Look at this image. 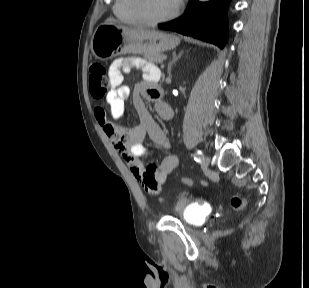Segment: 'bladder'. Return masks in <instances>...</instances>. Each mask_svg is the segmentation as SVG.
<instances>
[{"label":"bladder","mask_w":309,"mask_h":288,"mask_svg":"<svg viewBox=\"0 0 309 288\" xmlns=\"http://www.w3.org/2000/svg\"><path fill=\"white\" fill-rule=\"evenodd\" d=\"M176 207L181 219L191 227H200L208 218L209 211L206 207L190 204L184 197L177 199Z\"/></svg>","instance_id":"31cf9c89"}]
</instances>
